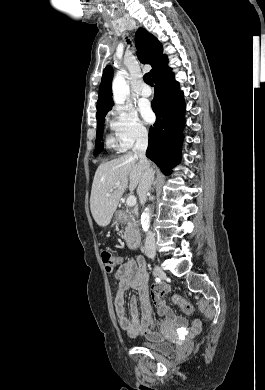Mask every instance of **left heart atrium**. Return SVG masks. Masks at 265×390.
Masks as SVG:
<instances>
[{"mask_svg":"<svg viewBox=\"0 0 265 390\" xmlns=\"http://www.w3.org/2000/svg\"><path fill=\"white\" fill-rule=\"evenodd\" d=\"M141 113L145 121L152 122L154 120V114L152 110L148 106H144L141 108Z\"/></svg>","mask_w":265,"mask_h":390,"instance_id":"39dd6f15","label":"left heart atrium"}]
</instances>
